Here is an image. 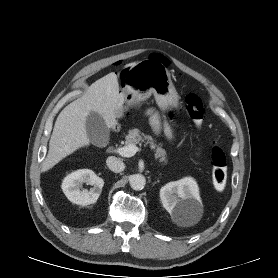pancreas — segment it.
<instances>
[{
    "instance_id": "obj_1",
    "label": "pancreas",
    "mask_w": 278,
    "mask_h": 278,
    "mask_svg": "<svg viewBox=\"0 0 278 278\" xmlns=\"http://www.w3.org/2000/svg\"><path fill=\"white\" fill-rule=\"evenodd\" d=\"M125 144L130 145V144H142L146 140V144H150L151 149L155 150V158H159L160 162H164L165 164L167 163L166 159V152L165 150L161 147V144L157 145L155 143V140L152 138L150 135H145L141 133V131L137 128L129 130L128 135L125 137Z\"/></svg>"
}]
</instances>
